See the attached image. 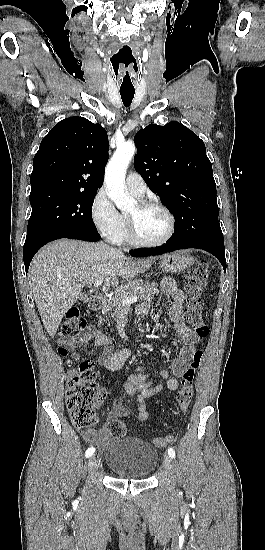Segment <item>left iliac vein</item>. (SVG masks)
I'll return each mask as SVG.
<instances>
[{
  "mask_svg": "<svg viewBox=\"0 0 265 550\" xmlns=\"http://www.w3.org/2000/svg\"><path fill=\"white\" fill-rule=\"evenodd\" d=\"M163 466L167 470H170L172 468V459L170 456L166 455L164 457Z\"/></svg>",
  "mask_w": 265,
  "mask_h": 550,
  "instance_id": "1",
  "label": "left iliac vein"
}]
</instances>
